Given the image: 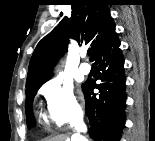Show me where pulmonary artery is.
I'll list each match as a JSON object with an SVG mask.
<instances>
[{"label":"pulmonary artery","mask_w":155,"mask_h":141,"mask_svg":"<svg viewBox=\"0 0 155 141\" xmlns=\"http://www.w3.org/2000/svg\"><path fill=\"white\" fill-rule=\"evenodd\" d=\"M82 57H85V53L82 54ZM82 74L87 75L91 71V67L88 63H82L79 67Z\"/></svg>","instance_id":"pulmonary-artery-1"}]
</instances>
